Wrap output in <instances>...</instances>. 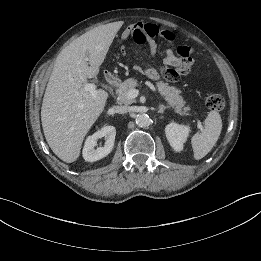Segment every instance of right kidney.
Segmentation results:
<instances>
[{"label":"right kidney","mask_w":261,"mask_h":261,"mask_svg":"<svg viewBox=\"0 0 261 261\" xmlns=\"http://www.w3.org/2000/svg\"><path fill=\"white\" fill-rule=\"evenodd\" d=\"M116 129L114 126H105L89 136L83 148V158L88 162H94L106 157L113 149L115 141ZM105 139V144L102 147L95 149L97 140Z\"/></svg>","instance_id":"right-kidney-1"}]
</instances>
